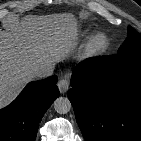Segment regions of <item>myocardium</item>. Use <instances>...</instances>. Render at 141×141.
<instances>
[{
	"mask_svg": "<svg viewBox=\"0 0 141 141\" xmlns=\"http://www.w3.org/2000/svg\"><path fill=\"white\" fill-rule=\"evenodd\" d=\"M110 46V39L104 32L92 34L82 49V58L86 60L97 58L103 55Z\"/></svg>",
	"mask_w": 141,
	"mask_h": 141,
	"instance_id": "1",
	"label": "myocardium"
}]
</instances>
